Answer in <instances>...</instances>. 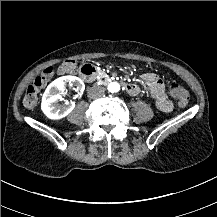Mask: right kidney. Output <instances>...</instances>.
<instances>
[{"instance_id":"right-kidney-1","label":"right kidney","mask_w":217,"mask_h":217,"mask_svg":"<svg viewBox=\"0 0 217 217\" xmlns=\"http://www.w3.org/2000/svg\"><path fill=\"white\" fill-rule=\"evenodd\" d=\"M67 86H71L78 94L85 90L84 82L75 76H63L54 80L45 90L41 102V111L49 120L65 118L75 108L74 102L57 106V102L63 99L59 93L65 92Z\"/></svg>"}]
</instances>
